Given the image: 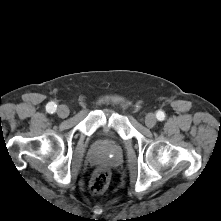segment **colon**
<instances>
[{"label":"colon","instance_id":"obj_1","mask_svg":"<svg viewBox=\"0 0 221 221\" xmlns=\"http://www.w3.org/2000/svg\"><path fill=\"white\" fill-rule=\"evenodd\" d=\"M110 182V172L107 168H99L90 183V191L93 194L103 193Z\"/></svg>","mask_w":221,"mask_h":221}]
</instances>
